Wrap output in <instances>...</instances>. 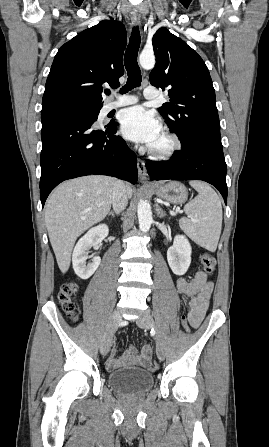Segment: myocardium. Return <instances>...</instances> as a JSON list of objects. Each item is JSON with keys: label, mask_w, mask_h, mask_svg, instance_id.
I'll use <instances>...</instances> for the list:
<instances>
[{"label": "myocardium", "mask_w": 269, "mask_h": 447, "mask_svg": "<svg viewBox=\"0 0 269 447\" xmlns=\"http://www.w3.org/2000/svg\"><path fill=\"white\" fill-rule=\"evenodd\" d=\"M163 131L170 138L171 145L170 147L163 152H154L149 147H147L148 155L157 161H167L176 156V154L180 151L182 147V141L180 137L173 132L170 128H164Z\"/></svg>", "instance_id": "1"}]
</instances>
